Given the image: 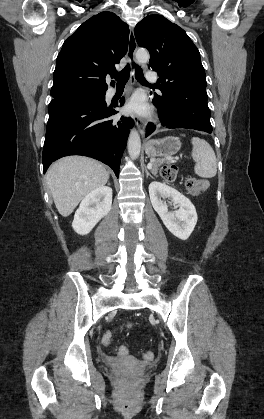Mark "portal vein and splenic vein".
<instances>
[{"label":"portal vein and splenic vein","instance_id":"portal-vein-and-splenic-vein-1","mask_svg":"<svg viewBox=\"0 0 264 419\" xmlns=\"http://www.w3.org/2000/svg\"><path fill=\"white\" fill-rule=\"evenodd\" d=\"M152 165H148V167L150 168Z\"/></svg>","mask_w":264,"mask_h":419}]
</instances>
